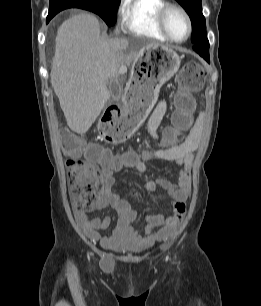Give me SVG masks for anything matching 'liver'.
Returning <instances> with one entry per match:
<instances>
[{"label":"liver","instance_id":"1","mask_svg":"<svg viewBox=\"0 0 261 306\" xmlns=\"http://www.w3.org/2000/svg\"><path fill=\"white\" fill-rule=\"evenodd\" d=\"M125 38L100 36L98 19L88 13L64 21L56 35L50 81L72 131H88L110 98L107 82L118 79L120 68L135 61L142 51L157 43L138 47Z\"/></svg>","mask_w":261,"mask_h":306}]
</instances>
